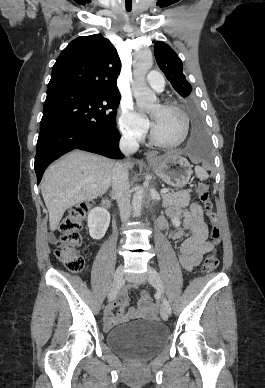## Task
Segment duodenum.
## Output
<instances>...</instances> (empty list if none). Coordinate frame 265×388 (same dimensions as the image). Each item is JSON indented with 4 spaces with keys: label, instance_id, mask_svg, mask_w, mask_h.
<instances>
[{
    "label": "duodenum",
    "instance_id": "1",
    "mask_svg": "<svg viewBox=\"0 0 265 388\" xmlns=\"http://www.w3.org/2000/svg\"><path fill=\"white\" fill-rule=\"evenodd\" d=\"M104 206H105L106 208H109V207H110V202H109V201H106V202L104 203Z\"/></svg>",
    "mask_w": 265,
    "mask_h": 388
}]
</instances>
